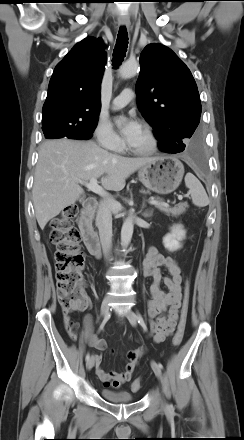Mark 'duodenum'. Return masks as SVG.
I'll return each instance as SVG.
<instances>
[{
    "instance_id": "410a0bca",
    "label": "duodenum",
    "mask_w": 244,
    "mask_h": 440,
    "mask_svg": "<svg viewBox=\"0 0 244 440\" xmlns=\"http://www.w3.org/2000/svg\"><path fill=\"white\" fill-rule=\"evenodd\" d=\"M96 208L97 200L95 198L90 197L85 201L80 214L79 230L89 253L95 257H100V241L92 226Z\"/></svg>"
}]
</instances>
